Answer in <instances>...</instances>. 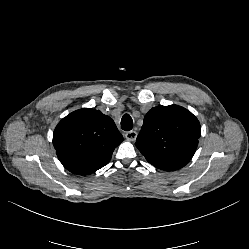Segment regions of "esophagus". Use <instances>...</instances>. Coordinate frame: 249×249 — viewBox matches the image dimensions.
<instances>
[{"instance_id": "34e87169", "label": "esophagus", "mask_w": 249, "mask_h": 249, "mask_svg": "<svg viewBox=\"0 0 249 249\" xmlns=\"http://www.w3.org/2000/svg\"><path fill=\"white\" fill-rule=\"evenodd\" d=\"M138 133L135 130H130L128 132L125 133V138L128 141H135V139L137 138Z\"/></svg>"}]
</instances>
